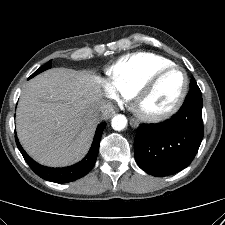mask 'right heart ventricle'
<instances>
[{"instance_id": "e07e8e85", "label": "right heart ventricle", "mask_w": 225, "mask_h": 225, "mask_svg": "<svg viewBox=\"0 0 225 225\" xmlns=\"http://www.w3.org/2000/svg\"><path fill=\"white\" fill-rule=\"evenodd\" d=\"M173 64L157 54L133 53L121 58L107 71L109 83L123 98L130 99L152 74Z\"/></svg>"}]
</instances>
